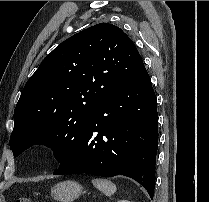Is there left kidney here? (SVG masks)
<instances>
[{
    "label": "left kidney",
    "instance_id": "1",
    "mask_svg": "<svg viewBox=\"0 0 209 202\" xmlns=\"http://www.w3.org/2000/svg\"><path fill=\"white\" fill-rule=\"evenodd\" d=\"M117 202H130V201H128V200H119Z\"/></svg>",
    "mask_w": 209,
    "mask_h": 202
}]
</instances>
